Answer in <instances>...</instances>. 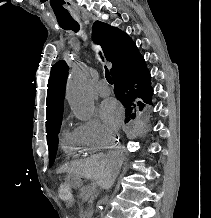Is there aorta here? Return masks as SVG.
Wrapping results in <instances>:
<instances>
[{"label":"aorta","mask_w":211,"mask_h":218,"mask_svg":"<svg viewBox=\"0 0 211 218\" xmlns=\"http://www.w3.org/2000/svg\"><path fill=\"white\" fill-rule=\"evenodd\" d=\"M67 99L74 115L83 121L94 113V99L85 66H75L67 81Z\"/></svg>","instance_id":"762f6f07"}]
</instances>
